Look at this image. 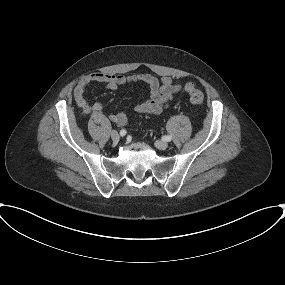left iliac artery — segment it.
Segmentation results:
<instances>
[{
	"label": "left iliac artery",
	"mask_w": 285,
	"mask_h": 285,
	"mask_svg": "<svg viewBox=\"0 0 285 285\" xmlns=\"http://www.w3.org/2000/svg\"><path fill=\"white\" fill-rule=\"evenodd\" d=\"M165 140L168 141V142L171 141L172 140V136H170V135L165 136Z\"/></svg>",
	"instance_id": "1"
}]
</instances>
